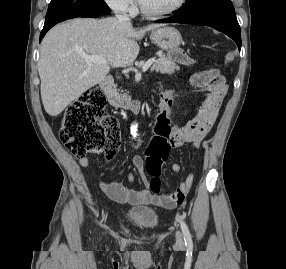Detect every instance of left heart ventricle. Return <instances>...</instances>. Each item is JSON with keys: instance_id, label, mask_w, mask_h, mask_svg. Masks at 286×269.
Listing matches in <instances>:
<instances>
[{"instance_id": "left-heart-ventricle-1", "label": "left heart ventricle", "mask_w": 286, "mask_h": 269, "mask_svg": "<svg viewBox=\"0 0 286 269\" xmlns=\"http://www.w3.org/2000/svg\"><path fill=\"white\" fill-rule=\"evenodd\" d=\"M144 7L152 12L163 11L172 7L177 0H141Z\"/></svg>"}]
</instances>
